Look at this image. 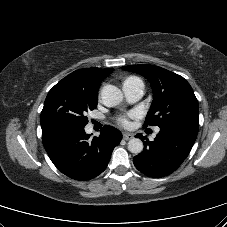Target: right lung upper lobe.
Wrapping results in <instances>:
<instances>
[{"mask_svg": "<svg viewBox=\"0 0 227 227\" xmlns=\"http://www.w3.org/2000/svg\"><path fill=\"white\" fill-rule=\"evenodd\" d=\"M113 71L112 68H84L76 70L60 82L97 93L101 82Z\"/></svg>", "mask_w": 227, "mask_h": 227, "instance_id": "1", "label": "right lung upper lobe"}]
</instances>
